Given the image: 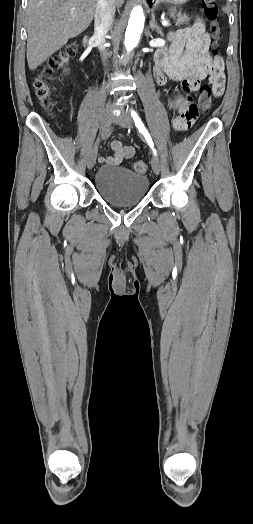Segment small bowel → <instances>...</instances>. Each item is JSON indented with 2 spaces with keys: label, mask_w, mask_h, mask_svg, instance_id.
Instances as JSON below:
<instances>
[{
  "label": "small bowel",
  "mask_w": 253,
  "mask_h": 524,
  "mask_svg": "<svg viewBox=\"0 0 253 524\" xmlns=\"http://www.w3.org/2000/svg\"><path fill=\"white\" fill-rule=\"evenodd\" d=\"M169 46L160 49L154 56L153 74L159 86L171 81L181 82L184 96L166 99L169 110H178L179 116L171 118L172 128L183 131L192 127L200 116L196 93L205 79L212 87L213 95L221 97L225 89L224 61L220 57H211L209 53L210 36L201 20L192 26L170 32ZM113 154L100 156L99 162L117 165L124 159L134 156L135 149L123 145L119 140L111 142Z\"/></svg>",
  "instance_id": "c3829d8e"
}]
</instances>
